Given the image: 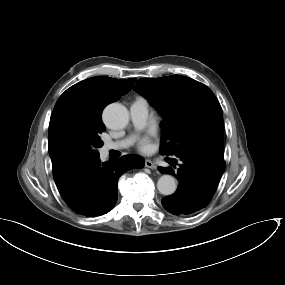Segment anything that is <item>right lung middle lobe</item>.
Here are the masks:
<instances>
[{
	"label": "right lung middle lobe",
	"instance_id": "1",
	"mask_svg": "<svg viewBox=\"0 0 285 285\" xmlns=\"http://www.w3.org/2000/svg\"><path fill=\"white\" fill-rule=\"evenodd\" d=\"M102 112L77 102L56 104L49 123V154L67 169L99 157L100 134L106 130Z\"/></svg>",
	"mask_w": 285,
	"mask_h": 285
}]
</instances>
